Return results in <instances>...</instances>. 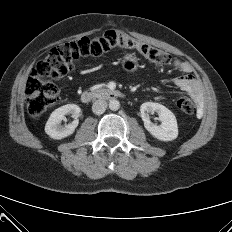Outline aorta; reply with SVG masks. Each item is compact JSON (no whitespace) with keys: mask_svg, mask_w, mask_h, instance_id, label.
<instances>
[{"mask_svg":"<svg viewBox=\"0 0 232 232\" xmlns=\"http://www.w3.org/2000/svg\"><path fill=\"white\" fill-rule=\"evenodd\" d=\"M108 105L112 111H117L120 108V102L116 99H111Z\"/></svg>","mask_w":232,"mask_h":232,"instance_id":"762f6f07","label":"aorta"}]
</instances>
